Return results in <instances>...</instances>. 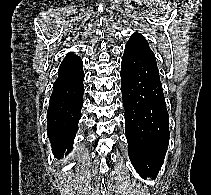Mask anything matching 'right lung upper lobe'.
I'll return each mask as SVG.
<instances>
[{"instance_id":"cb5924a9","label":"right lung upper lobe","mask_w":211,"mask_h":195,"mask_svg":"<svg viewBox=\"0 0 211 195\" xmlns=\"http://www.w3.org/2000/svg\"><path fill=\"white\" fill-rule=\"evenodd\" d=\"M82 66V60L79 56L75 55L74 53L70 52L66 55L65 59L62 61L58 72L64 73Z\"/></svg>"}]
</instances>
